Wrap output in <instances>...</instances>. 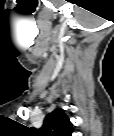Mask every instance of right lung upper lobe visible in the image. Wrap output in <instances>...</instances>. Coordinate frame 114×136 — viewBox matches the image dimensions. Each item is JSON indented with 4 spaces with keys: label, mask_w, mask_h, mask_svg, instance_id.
<instances>
[{
    "label": "right lung upper lobe",
    "mask_w": 114,
    "mask_h": 136,
    "mask_svg": "<svg viewBox=\"0 0 114 136\" xmlns=\"http://www.w3.org/2000/svg\"><path fill=\"white\" fill-rule=\"evenodd\" d=\"M72 124L63 109L48 114L40 128V136H71Z\"/></svg>",
    "instance_id": "cb5924a9"
}]
</instances>
